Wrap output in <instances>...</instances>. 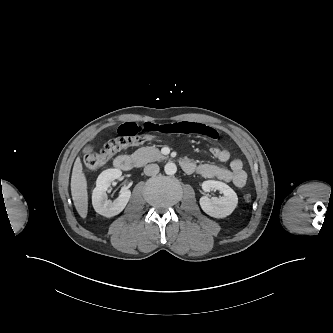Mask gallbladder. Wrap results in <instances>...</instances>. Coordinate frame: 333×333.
I'll list each match as a JSON object with an SVG mask.
<instances>
[{
	"mask_svg": "<svg viewBox=\"0 0 333 333\" xmlns=\"http://www.w3.org/2000/svg\"><path fill=\"white\" fill-rule=\"evenodd\" d=\"M91 150H92V148H91V147H88V148L85 149V152H89V151H91Z\"/></svg>",
	"mask_w": 333,
	"mask_h": 333,
	"instance_id": "obj_1",
	"label": "gallbladder"
}]
</instances>
